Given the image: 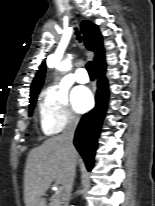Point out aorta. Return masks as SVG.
<instances>
[{
	"mask_svg": "<svg viewBox=\"0 0 155 206\" xmlns=\"http://www.w3.org/2000/svg\"><path fill=\"white\" fill-rule=\"evenodd\" d=\"M57 69L60 71H68L71 69L72 64H71V57L63 60L61 63H59L57 66Z\"/></svg>",
	"mask_w": 155,
	"mask_h": 206,
	"instance_id": "obj_1",
	"label": "aorta"
}]
</instances>
